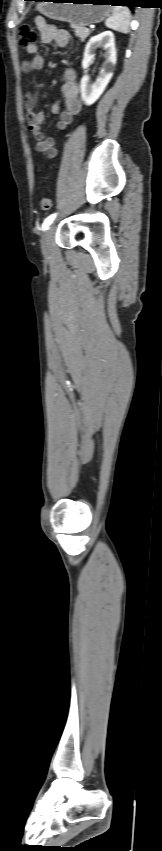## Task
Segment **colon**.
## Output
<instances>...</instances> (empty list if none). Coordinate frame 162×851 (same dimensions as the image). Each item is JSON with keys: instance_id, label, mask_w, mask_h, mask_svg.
I'll list each match as a JSON object with an SVG mask.
<instances>
[{"instance_id": "5ec220e1", "label": "colon", "mask_w": 162, "mask_h": 851, "mask_svg": "<svg viewBox=\"0 0 162 851\" xmlns=\"http://www.w3.org/2000/svg\"><path fill=\"white\" fill-rule=\"evenodd\" d=\"M38 39V34L36 30L29 26L24 25L20 28L19 31V46L24 49H28L29 47L35 45ZM39 205L43 210H49L51 208V201L47 197H43L39 201Z\"/></svg>"}]
</instances>
